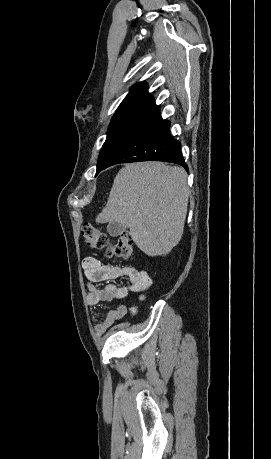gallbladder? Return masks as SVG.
<instances>
[{
	"label": "gallbladder",
	"mask_w": 271,
	"mask_h": 459,
	"mask_svg": "<svg viewBox=\"0 0 271 459\" xmlns=\"http://www.w3.org/2000/svg\"><path fill=\"white\" fill-rule=\"evenodd\" d=\"M126 228L127 226H124V224H118V222H109L107 231L110 233V235L116 237V235H121V233H123Z\"/></svg>",
	"instance_id": "bac80fb5"
}]
</instances>
